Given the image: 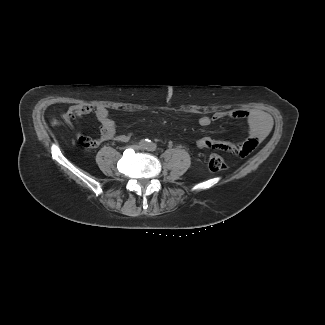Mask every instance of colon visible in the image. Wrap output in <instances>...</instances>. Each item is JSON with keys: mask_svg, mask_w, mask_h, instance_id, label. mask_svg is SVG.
<instances>
[{"mask_svg": "<svg viewBox=\"0 0 325 325\" xmlns=\"http://www.w3.org/2000/svg\"><path fill=\"white\" fill-rule=\"evenodd\" d=\"M55 125L58 124L57 121L53 122ZM208 166L212 172H221L227 168L225 160L217 154H211L208 158Z\"/></svg>", "mask_w": 325, "mask_h": 325, "instance_id": "5ec220e1", "label": "colon"}]
</instances>
